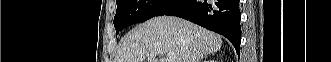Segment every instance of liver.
<instances>
[{
	"instance_id": "6515ba94",
	"label": "liver",
	"mask_w": 331,
	"mask_h": 62,
	"mask_svg": "<svg viewBox=\"0 0 331 62\" xmlns=\"http://www.w3.org/2000/svg\"><path fill=\"white\" fill-rule=\"evenodd\" d=\"M218 34L173 16H160L133 28L125 37L114 62H158L172 54L175 62H197L221 49Z\"/></svg>"
}]
</instances>
